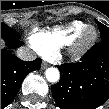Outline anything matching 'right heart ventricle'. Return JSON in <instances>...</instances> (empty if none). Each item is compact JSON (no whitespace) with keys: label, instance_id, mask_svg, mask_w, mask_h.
Wrapping results in <instances>:
<instances>
[{"label":"right heart ventricle","instance_id":"obj_1","mask_svg":"<svg viewBox=\"0 0 109 109\" xmlns=\"http://www.w3.org/2000/svg\"><path fill=\"white\" fill-rule=\"evenodd\" d=\"M88 25L82 21H73L66 26H57L50 30H35L29 36L38 52L45 58L53 57L57 51L70 46L76 36Z\"/></svg>","mask_w":109,"mask_h":109}]
</instances>
